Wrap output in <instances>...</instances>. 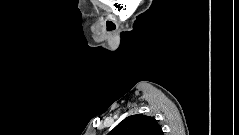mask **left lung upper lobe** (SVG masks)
<instances>
[{"label": "left lung upper lobe", "instance_id": "5c2ea615", "mask_svg": "<svg viewBox=\"0 0 239 135\" xmlns=\"http://www.w3.org/2000/svg\"><path fill=\"white\" fill-rule=\"evenodd\" d=\"M108 135H163V131L153 117L136 114L125 118Z\"/></svg>", "mask_w": 239, "mask_h": 135}]
</instances>
